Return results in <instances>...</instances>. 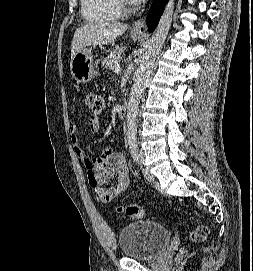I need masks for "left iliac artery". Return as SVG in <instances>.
I'll list each match as a JSON object with an SVG mask.
<instances>
[{
	"label": "left iliac artery",
	"mask_w": 253,
	"mask_h": 271,
	"mask_svg": "<svg viewBox=\"0 0 253 271\" xmlns=\"http://www.w3.org/2000/svg\"><path fill=\"white\" fill-rule=\"evenodd\" d=\"M130 151L133 159L135 161H138L139 155H138V142L137 140H130L129 141Z\"/></svg>",
	"instance_id": "obj_1"
}]
</instances>
